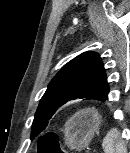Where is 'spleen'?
I'll use <instances>...</instances> for the list:
<instances>
[{"label":"spleen","mask_w":130,"mask_h":153,"mask_svg":"<svg viewBox=\"0 0 130 153\" xmlns=\"http://www.w3.org/2000/svg\"><path fill=\"white\" fill-rule=\"evenodd\" d=\"M102 147L104 153H126V147L120 138V133L117 128L108 131L103 139Z\"/></svg>","instance_id":"obj_1"}]
</instances>
